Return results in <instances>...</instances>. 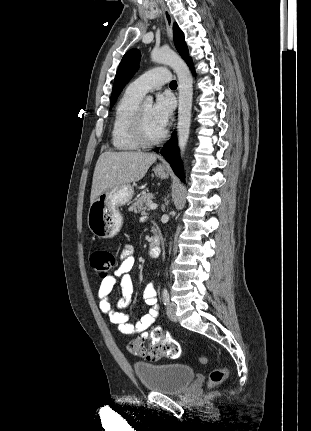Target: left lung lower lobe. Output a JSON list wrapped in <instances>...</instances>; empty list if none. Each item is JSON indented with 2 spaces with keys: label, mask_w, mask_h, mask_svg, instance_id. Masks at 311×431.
<instances>
[{
  "label": "left lung lower lobe",
  "mask_w": 311,
  "mask_h": 431,
  "mask_svg": "<svg viewBox=\"0 0 311 431\" xmlns=\"http://www.w3.org/2000/svg\"><path fill=\"white\" fill-rule=\"evenodd\" d=\"M187 64L194 73L192 60L190 59ZM154 151L157 152L158 149H155ZM161 154L169 162L174 172L182 179L181 160L179 157V149L177 147V139L175 135H173L172 138L165 144L164 148L161 150Z\"/></svg>",
  "instance_id": "left-lung-lower-lobe-1"
}]
</instances>
